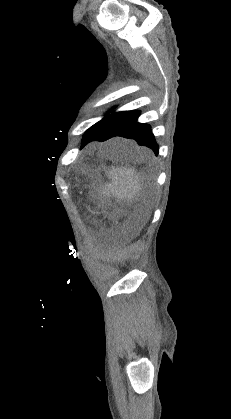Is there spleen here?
Returning a JSON list of instances; mask_svg holds the SVG:
<instances>
[{"mask_svg": "<svg viewBox=\"0 0 231 419\" xmlns=\"http://www.w3.org/2000/svg\"><path fill=\"white\" fill-rule=\"evenodd\" d=\"M111 183L103 188L104 195H113L118 200L132 203L142 189L141 177L133 168H114L107 172Z\"/></svg>", "mask_w": 231, "mask_h": 419, "instance_id": "obj_1", "label": "spleen"}]
</instances>
